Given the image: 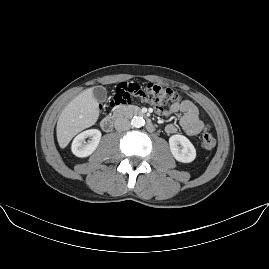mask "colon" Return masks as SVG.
I'll return each mask as SVG.
<instances>
[{
  "label": "colon",
  "mask_w": 269,
  "mask_h": 269,
  "mask_svg": "<svg viewBox=\"0 0 269 269\" xmlns=\"http://www.w3.org/2000/svg\"><path fill=\"white\" fill-rule=\"evenodd\" d=\"M178 100L179 94L169 86L154 82H147L141 86L137 82H128L118 85L115 94L106 99V104L109 107H114L119 104L147 102L159 107H170ZM201 144L206 150H212L216 146L215 138L210 130L202 132Z\"/></svg>",
  "instance_id": "obj_1"
}]
</instances>
